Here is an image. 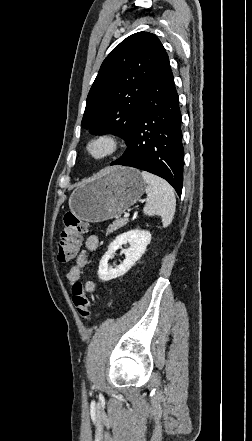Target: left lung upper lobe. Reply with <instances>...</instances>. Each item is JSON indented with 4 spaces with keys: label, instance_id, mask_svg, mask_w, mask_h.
<instances>
[{
    "label": "left lung upper lobe",
    "instance_id": "left-lung-upper-lobe-1",
    "mask_svg": "<svg viewBox=\"0 0 252 441\" xmlns=\"http://www.w3.org/2000/svg\"><path fill=\"white\" fill-rule=\"evenodd\" d=\"M152 33H135L103 61L89 91L82 126L95 135L108 131L128 143L163 50Z\"/></svg>",
    "mask_w": 252,
    "mask_h": 441
}]
</instances>
